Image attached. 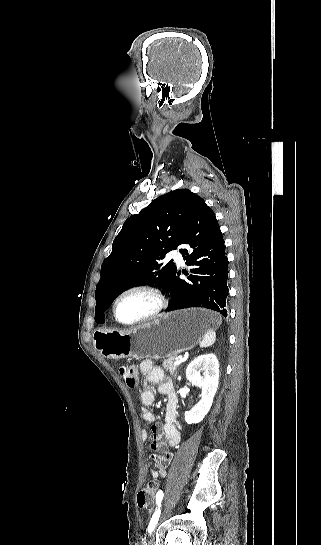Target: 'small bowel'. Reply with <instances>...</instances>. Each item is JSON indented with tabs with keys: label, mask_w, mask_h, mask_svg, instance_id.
<instances>
[{
	"label": "small bowel",
	"mask_w": 321,
	"mask_h": 545,
	"mask_svg": "<svg viewBox=\"0 0 321 545\" xmlns=\"http://www.w3.org/2000/svg\"><path fill=\"white\" fill-rule=\"evenodd\" d=\"M140 372L144 377L143 388L140 393L142 407V418L151 424L150 448L156 453L152 459L157 466L151 471V478L156 480L164 478L167 474V467L172 461L173 454L169 448L175 447L181 440L180 425L176 417L177 394L173 388L171 379L151 360H144L140 364ZM150 384H158V391L167 397L164 424L160 425L155 415L148 409L155 400L154 390ZM142 438L146 441L149 434L142 430Z\"/></svg>",
	"instance_id": "small-bowel-1"
}]
</instances>
